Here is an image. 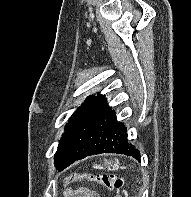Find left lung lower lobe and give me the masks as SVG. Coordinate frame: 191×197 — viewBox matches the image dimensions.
Wrapping results in <instances>:
<instances>
[{"instance_id":"1","label":"left lung lower lobe","mask_w":191,"mask_h":197,"mask_svg":"<svg viewBox=\"0 0 191 197\" xmlns=\"http://www.w3.org/2000/svg\"><path fill=\"white\" fill-rule=\"evenodd\" d=\"M106 98L86 100L74 112L68 126L67 138L73 148L68 158L57 167L63 170L76 160L93 154L119 153L140 160V152L128 143L127 129L117 122Z\"/></svg>"}]
</instances>
